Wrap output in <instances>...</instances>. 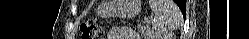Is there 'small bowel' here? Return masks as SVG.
<instances>
[{"mask_svg":"<svg viewBox=\"0 0 249 39\" xmlns=\"http://www.w3.org/2000/svg\"><path fill=\"white\" fill-rule=\"evenodd\" d=\"M111 32L120 36V37H125V38H129V39H133L136 34L133 30L128 29V28H111Z\"/></svg>","mask_w":249,"mask_h":39,"instance_id":"c3829d8e","label":"small bowel"}]
</instances>
